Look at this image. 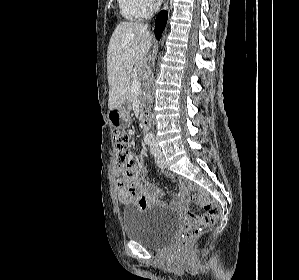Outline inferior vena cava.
<instances>
[{"mask_svg":"<svg viewBox=\"0 0 299 280\" xmlns=\"http://www.w3.org/2000/svg\"><path fill=\"white\" fill-rule=\"evenodd\" d=\"M147 26H148V25L146 24L144 27L147 28Z\"/></svg>","mask_w":299,"mask_h":280,"instance_id":"602c4592","label":"inferior vena cava"}]
</instances>
